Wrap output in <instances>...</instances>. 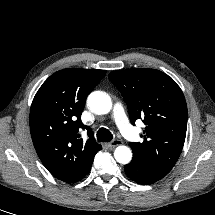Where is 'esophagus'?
I'll list each match as a JSON object with an SVG mask.
<instances>
[{
	"mask_svg": "<svg viewBox=\"0 0 215 215\" xmlns=\"http://www.w3.org/2000/svg\"><path fill=\"white\" fill-rule=\"evenodd\" d=\"M121 144H122L121 140L115 139V140L111 141L110 143H108L107 146L109 148H114V147L119 146Z\"/></svg>",
	"mask_w": 215,
	"mask_h": 215,
	"instance_id": "esophagus-1",
	"label": "esophagus"
}]
</instances>
